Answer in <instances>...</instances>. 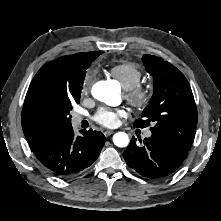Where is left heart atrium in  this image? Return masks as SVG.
<instances>
[{"label":"left heart atrium","instance_id":"left-heart-atrium-1","mask_svg":"<svg viewBox=\"0 0 221 221\" xmlns=\"http://www.w3.org/2000/svg\"><path fill=\"white\" fill-rule=\"evenodd\" d=\"M126 114L122 108L111 109V108H100L96 114V121L106 127H115L119 123V117Z\"/></svg>","mask_w":221,"mask_h":221}]
</instances>
